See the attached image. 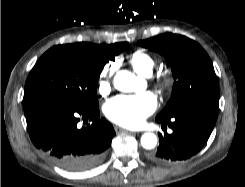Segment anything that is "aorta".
Masks as SVG:
<instances>
[{
    "instance_id": "obj_1",
    "label": "aorta",
    "mask_w": 245,
    "mask_h": 187,
    "mask_svg": "<svg viewBox=\"0 0 245 187\" xmlns=\"http://www.w3.org/2000/svg\"><path fill=\"white\" fill-rule=\"evenodd\" d=\"M138 79L135 75L129 71H119L114 77V87L122 92H130L134 90V87ZM157 144V137L153 133H144L141 137V145L145 149H153Z\"/></svg>"
}]
</instances>
